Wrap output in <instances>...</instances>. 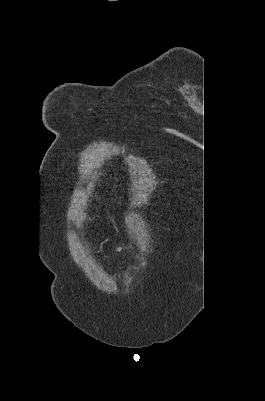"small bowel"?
I'll return each mask as SVG.
<instances>
[{"mask_svg":"<svg viewBox=\"0 0 265 401\" xmlns=\"http://www.w3.org/2000/svg\"><path fill=\"white\" fill-rule=\"evenodd\" d=\"M122 250H123V247H117V248L114 249V252H120ZM132 271H133V268H127L126 271H125V274H129Z\"/></svg>","mask_w":265,"mask_h":401,"instance_id":"1","label":"small bowel"}]
</instances>
